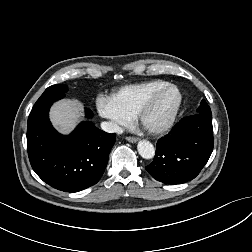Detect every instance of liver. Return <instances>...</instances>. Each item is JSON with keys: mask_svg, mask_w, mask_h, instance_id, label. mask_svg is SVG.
Returning <instances> with one entry per match:
<instances>
[{"mask_svg": "<svg viewBox=\"0 0 252 252\" xmlns=\"http://www.w3.org/2000/svg\"><path fill=\"white\" fill-rule=\"evenodd\" d=\"M82 104L73 99H64L55 103L50 109V120L62 134H69L83 120Z\"/></svg>", "mask_w": 252, "mask_h": 252, "instance_id": "liver-1", "label": "liver"}]
</instances>
